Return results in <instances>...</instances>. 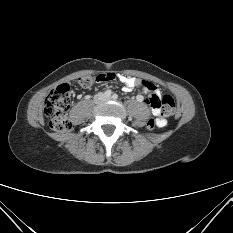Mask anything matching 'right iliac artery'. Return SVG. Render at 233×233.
<instances>
[{
    "mask_svg": "<svg viewBox=\"0 0 233 233\" xmlns=\"http://www.w3.org/2000/svg\"><path fill=\"white\" fill-rule=\"evenodd\" d=\"M111 94H112V91H111V90H106V91L104 92V95L107 96V97L111 96Z\"/></svg>",
    "mask_w": 233,
    "mask_h": 233,
    "instance_id": "obj_1",
    "label": "right iliac artery"
}]
</instances>
